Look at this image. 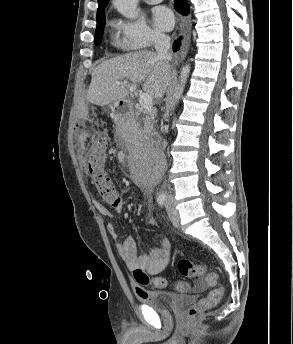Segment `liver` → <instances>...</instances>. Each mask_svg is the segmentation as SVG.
<instances>
[{
    "label": "liver",
    "instance_id": "1",
    "mask_svg": "<svg viewBox=\"0 0 293 344\" xmlns=\"http://www.w3.org/2000/svg\"><path fill=\"white\" fill-rule=\"evenodd\" d=\"M117 81H129L117 85ZM172 81V69L153 51L141 50L109 59L92 73L87 100L97 106L126 100L143 82V90L161 99Z\"/></svg>",
    "mask_w": 293,
    "mask_h": 344
}]
</instances>
